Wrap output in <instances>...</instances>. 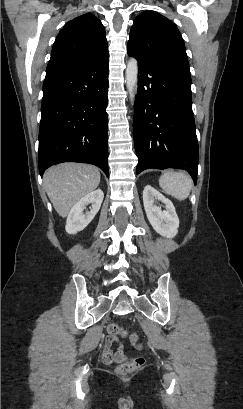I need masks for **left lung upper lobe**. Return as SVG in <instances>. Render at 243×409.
Instances as JSON below:
<instances>
[{
  "label": "left lung upper lobe",
  "mask_w": 243,
  "mask_h": 409,
  "mask_svg": "<svg viewBox=\"0 0 243 409\" xmlns=\"http://www.w3.org/2000/svg\"><path fill=\"white\" fill-rule=\"evenodd\" d=\"M127 50L138 63L154 62L169 57L188 59L177 26L154 11H144L135 18Z\"/></svg>",
  "instance_id": "5c2ea615"
}]
</instances>
